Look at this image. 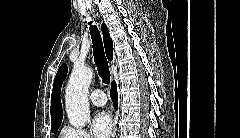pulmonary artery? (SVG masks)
Segmentation results:
<instances>
[{
	"label": "pulmonary artery",
	"instance_id": "e3ab8cb5",
	"mask_svg": "<svg viewBox=\"0 0 240 138\" xmlns=\"http://www.w3.org/2000/svg\"><path fill=\"white\" fill-rule=\"evenodd\" d=\"M91 102L98 107H102L106 104V97L103 91L94 90L90 95Z\"/></svg>",
	"mask_w": 240,
	"mask_h": 138
}]
</instances>
